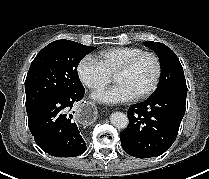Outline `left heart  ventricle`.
Segmentation results:
<instances>
[{
	"mask_svg": "<svg viewBox=\"0 0 209 179\" xmlns=\"http://www.w3.org/2000/svg\"><path fill=\"white\" fill-rule=\"evenodd\" d=\"M155 73L156 65L154 60L149 56H145L130 71L116 76L114 81L117 84L126 86L135 96L145 91L152 84Z\"/></svg>",
	"mask_w": 209,
	"mask_h": 179,
	"instance_id": "obj_1",
	"label": "left heart ventricle"
}]
</instances>
